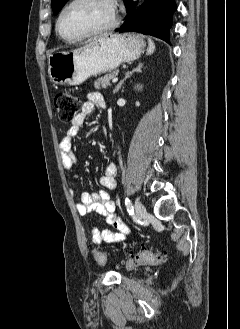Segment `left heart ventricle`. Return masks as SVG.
<instances>
[{
    "label": "left heart ventricle",
    "instance_id": "left-heart-ventricle-1",
    "mask_svg": "<svg viewBox=\"0 0 240 329\" xmlns=\"http://www.w3.org/2000/svg\"><path fill=\"white\" fill-rule=\"evenodd\" d=\"M112 20L113 10L106 0H81L65 12L61 31L67 37H77L103 28Z\"/></svg>",
    "mask_w": 240,
    "mask_h": 329
}]
</instances>
